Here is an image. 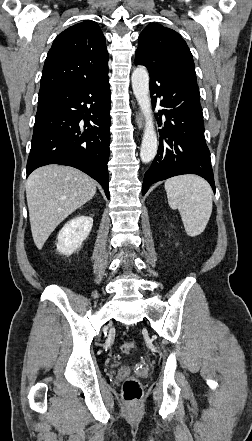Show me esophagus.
Segmentation results:
<instances>
[{
	"instance_id": "obj_1",
	"label": "esophagus",
	"mask_w": 252,
	"mask_h": 441,
	"mask_svg": "<svg viewBox=\"0 0 252 441\" xmlns=\"http://www.w3.org/2000/svg\"><path fill=\"white\" fill-rule=\"evenodd\" d=\"M136 124H137L138 129L142 130V128H143V118H142V115H141V113L139 111L136 113Z\"/></svg>"
}]
</instances>
